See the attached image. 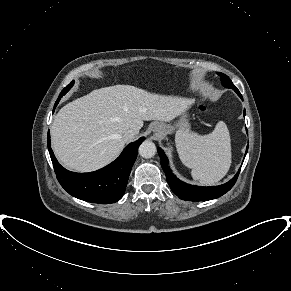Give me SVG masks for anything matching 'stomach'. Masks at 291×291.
<instances>
[{
    "label": "stomach",
    "mask_w": 291,
    "mask_h": 291,
    "mask_svg": "<svg viewBox=\"0 0 291 291\" xmlns=\"http://www.w3.org/2000/svg\"><path fill=\"white\" fill-rule=\"evenodd\" d=\"M175 126L178 127L177 132H179V131L188 132L189 131V123H188V119H187V114L185 112L181 114V118ZM174 129H175V127L172 125H165V132L166 133H171V132H173Z\"/></svg>",
    "instance_id": "1"
}]
</instances>
